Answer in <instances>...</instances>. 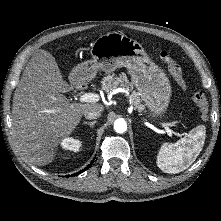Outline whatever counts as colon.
<instances>
[{
	"label": "colon",
	"mask_w": 221,
	"mask_h": 221,
	"mask_svg": "<svg viewBox=\"0 0 221 221\" xmlns=\"http://www.w3.org/2000/svg\"><path fill=\"white\" fill-rule=\"evenodd\" d=\"M159 58L167 66L170 74L175 78L178 84L182 87L184 91H188L187 83L183 77L181 67L175 62V60L166 51L158 52ZM191 99L197 105L201 117L204 121L208 120L209 105L206 96L201 92L190 93Z\"/></svg>",
	"instance_id": "obj_1"
}]
</instances>
